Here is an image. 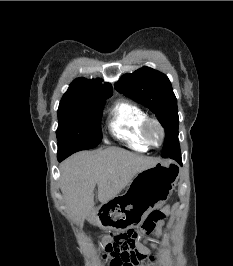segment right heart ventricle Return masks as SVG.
<instances>
[{"mask_svg":"<svg viewBox=\"0 0 233 266\" xmlns=\"http://www.w3.org/2000/svg\"><path fill=\"white\" fill-rule=\"evenodd\" d=\"M147 117L138 105L126 100L118 101L111 109V133L132 148L146 151L148 145L142 137L141 128Z\"/></svg>","mask_w":233,"mask_h":266,"instance_id":"right-heart-ventricle-1","label":"right heart ventricle"}]
</instances>
